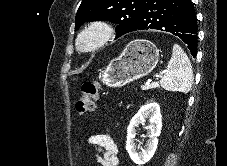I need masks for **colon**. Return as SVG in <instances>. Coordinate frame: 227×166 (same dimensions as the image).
<instances>
[{
  "instance_id": "obj_1",
  "label": "colon",
  "mask_w": 227,
  "mask_h": 166,
  "mask_svg": "<svg viewBox=\"0 0 227 166\" xmlns=\"http://www.w3.org/2000/svg\"><path fill=\"white\" fill-rule=\"evenodd\" d=\"M99 97V85L96 82H85L81 87V93L76 100V111L80 115H85L95 109L96 101Z\"/></svg>"
}]
</instances>
